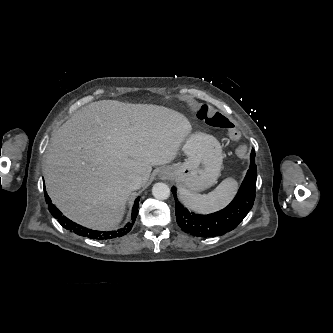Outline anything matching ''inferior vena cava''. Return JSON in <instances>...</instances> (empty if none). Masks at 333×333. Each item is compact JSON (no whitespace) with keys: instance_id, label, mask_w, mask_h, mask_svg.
I'll return each mask as SVG.
<instances>
[{"instance_id":"inferior-vena-cava-1","label":"inferior vena cava","mask_w":333,"mask_h":333,"mask_svg":"<svg viewBox=\"0 0 333 333\" xmlns=\"http://www.w3.org/2000/svg\"><path fill=\"white\" fill-rule=\"evenodd\" d=\"M126 186L129 190H137L142 186V178L138 175H131L126 180Z\"/></svg>"}]
</instances>
